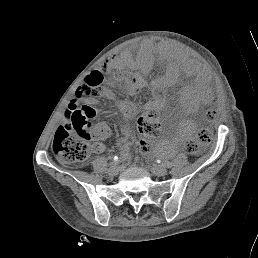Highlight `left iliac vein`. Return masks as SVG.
Instances as JSON below:
<instances>
[{
	"mask_svg": "<svg viewBox=\"0 0 258 258\" xmlns=\"http://www.w3.org/2000/svg\"><path fill=\"white\" fill-rule=\"evenodd\" d=\"M152 172H154L157 175H162L164 173V170L161 167H155V168H152Z\"/></svg>",
	"mask_w": 258,
	"mask_h": 258,
	"instance_id": "obj_1",
	"label": "left iliac vein"
}]
</instances>
